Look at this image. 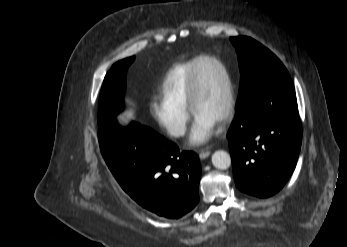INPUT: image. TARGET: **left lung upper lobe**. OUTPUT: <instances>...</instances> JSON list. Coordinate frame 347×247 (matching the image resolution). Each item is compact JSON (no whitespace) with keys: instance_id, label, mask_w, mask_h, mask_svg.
Returning a JSON list of instances; mask_svg holds the SVG:
<instances>
[{"instance_id":"left-lung-upper-lobe-1","label":"left lung upper lobe","mask_w":347,"mask_h":247,"mask_svg":"<svg viewBox=\"0 0 347 247\" xmlns=\"http://www.w3.org/2000/svg\"><path fill=\"white\" fill-rule=\"evenodd\" d=\"M240 68V89L236 109L243 108L264 86L274 81L290 79L282 62L266 47L250 37H231Z\"/></svg>"}]
</instances>
